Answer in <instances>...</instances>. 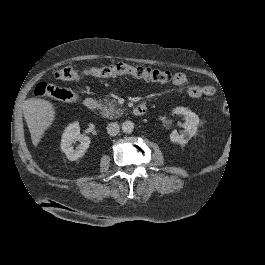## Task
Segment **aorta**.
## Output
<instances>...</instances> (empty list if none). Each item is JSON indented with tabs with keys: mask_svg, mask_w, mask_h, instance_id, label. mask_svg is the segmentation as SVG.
<instances>
[{
	"mask_svg": "<svg viewBox=\"0 0 265 265\" xmlns=\"http://www.w3.org/2000/svg\"><path fill=\"white\" fill-rule=\"evenodd\" d=\"M122 131L123 133L130 134L134 130V124L132 121H125L122 123Z\"/></svg>",
	"mask_w": 265,
	"mask_h": 265,
	"instance_id": "1",
	"label": "aorta"
}]
</instances>
